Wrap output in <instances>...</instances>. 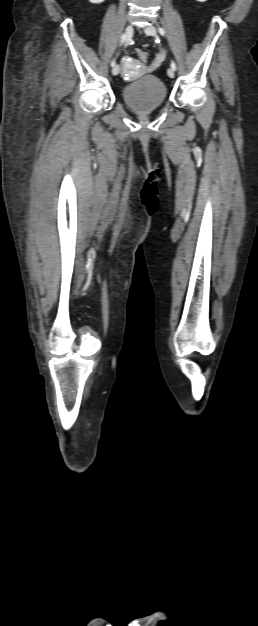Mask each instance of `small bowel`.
<instances>
[{
	"mask_svg": "<svg viewBox=\"0 0 258 626\" xmlns=\"http://www.w3.org/2000/svg\"><path fill=\"white\" fill-rule=\"evenodd\" d=\"M165 57L164 52H160L157 56L156 61L154 62V64L150 67V68H157L160 63L163 61ZM139 67V63L131 58H128L125 60V69L127 72H131L133 68H137Z\"/></svg>",
	"mask_w": 258,
	"mask_h": 626,
	"instance_id": "obj_1",
	"label": "small bowel"
}]
</instances>
